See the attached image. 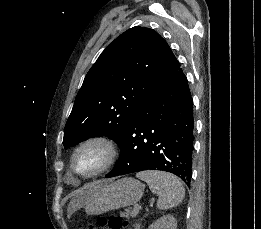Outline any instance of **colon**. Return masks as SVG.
Segmentation results:
<instances>
[{
  "mask_svg": "<svg viewBox=\"0 0 261 229\" xmlns=\"http://www.w3.org/2000/svg\"><path fill=\"white\" fill-rule=\"evenodd\" d=\"M135 229L133 224L120 215H110L109 217L101 216L96 224H89L86 229Z\"/></svg>",
  "mask_w": 261,
  "mask_h": 229,
  "instance_id": "colon-1",
  "label": "colon"
}]
</instances>
